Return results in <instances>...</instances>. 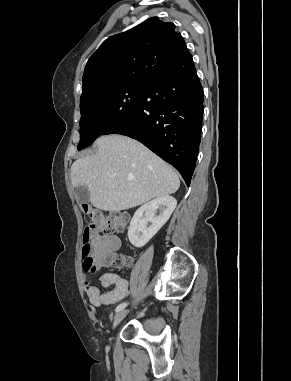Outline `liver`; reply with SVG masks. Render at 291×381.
<instances>
[{
  "label": "liver",
  "instance_id": "1",
  "mask_svg": "<svg viewBox=\"0 0 291 381\" xmlns=\"http://www.w3.org/2000/svg\"><path fill=\"white\" fill-rule=\"evenodd\" d=\"M93 155L71 166L73 187L86 186L92 206L121 211L175 193L176 171L140 142L122 135L100 137Z\"/></svg>",
  "mask_w": 291,
  "mask_h": 381
}]
</instances>
